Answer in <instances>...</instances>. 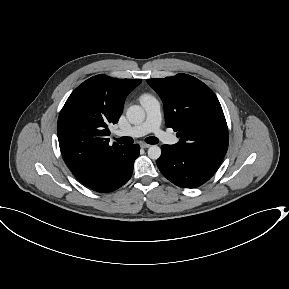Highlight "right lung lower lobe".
<instances>
[{
	"instance_id": "right-lung-lower-lobe-1",
	"label": "right lung lower lobe",
	"mask_w": 289,
	"mask_h": 289,
	"mask_svg": "<svg viewBox=\"0 0 289 289\" xmlns=\"http://www.w3.org/2000/svg\"><path fill=\"white\" fill-rule=\"evenodd\" d=\"M139 151L140 147L137 144L125 146L109 166L106 174L98 182L86 186L102 193L118 189L131 178L134 161L138 157Z\"/></svg>"
}]
</instances>
